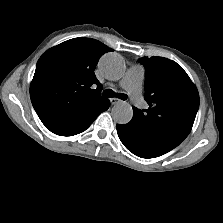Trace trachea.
I'll list each match as a JSON object with an SVG mask.
<instances>
[{"label":"trachea","mask_w":223,"mask_h":223,"mask_svg":"<svg viewBox=\"0 0 223 223\" xmlns=\"http://www.w3.org/2000/svg\"><path fill=\"white\" fill-rule=\"evenodd\" d=\"M102 95L104 97H107V98H112V97H117L121 100H126L127 99V95L126 94H122V93H115L113 90L111 89H107V90H104Z\"/></svg>","instance_id":"1"}]
</instances>
